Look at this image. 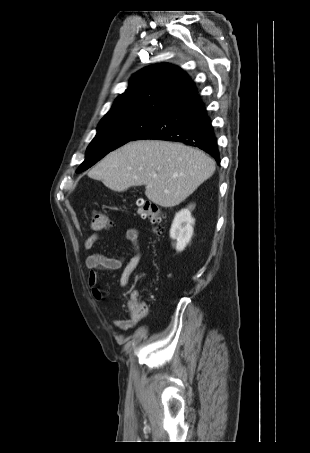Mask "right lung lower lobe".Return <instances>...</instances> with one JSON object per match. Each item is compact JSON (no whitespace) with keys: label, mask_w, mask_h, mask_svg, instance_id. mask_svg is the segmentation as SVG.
I'll return each instance as SVG.
<instances>
[{"label":"right lung lower lobe","mask_w":310,"mask_h":453,"mask_svg":"<svg viewBox=\"0 0 310 453\" xmlns=\"http://www.w3.org/2000/svg\"><path fill=\"white\" fill-rule=\"evenodd\" d=\"M161 139L198 147L220 163L217 139L197 90L172 104L136 140Z\"/></svg>","instance_id":"obj_1"}]
</instances>
